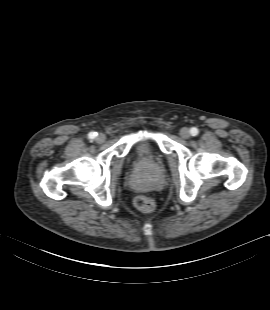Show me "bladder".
I'll return each instance as SVG.
<instances>
[{
  "label": "bladder",
  "mask_w": 270,
  "mask_h": 310,
  "mask_svg": "<svg viewBox=\"0 0 270 310\" xmlns=\"http://www.w3.org/2000/svg\"><path fill=\"white\" fill-rule=\"evenodd\" d=\"M151 148V143L148 139H142L135 145L134 153L136 156H142L148 149Z\"/></svg>",
  "instance_id": "1"
}]
</instances>
